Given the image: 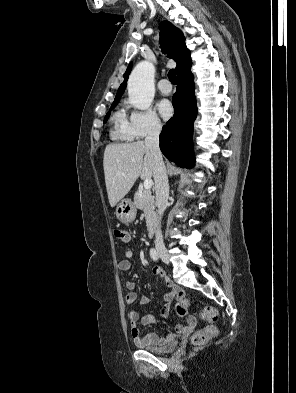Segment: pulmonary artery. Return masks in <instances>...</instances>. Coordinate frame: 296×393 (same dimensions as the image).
I'll return each mask as SVG.
<instances>
[{"instance_id": "obj_1", "label": "pulmonary artery", "mask_w": 296, "mask_h": 393, "mask_svg": "<svg viewBox=\"0 0 296 393\" xmlns=\"http://www.w3.org/2000/svg\"><path fill=\"white\" fill-rule=\"evenodd\" d=\"M158 89L160 90V92L162 94H169L172 91V86L170 84V82L167 79H162L159 81L158 83Z\"/></svg>"}]
</instances>
